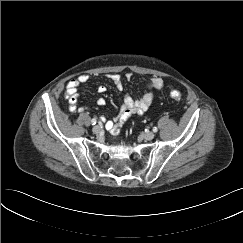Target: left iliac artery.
<instances>
[{
	"mask_svg": "<svg viewBox=\"0 0 243 243\" xmlns=\"http://www.w3.org/2000/svg\"><path fill=\"white\" fill-rule=\"evenodd\" d=\"M157 131H158L157 127H153V132H157Z\"/></svg>",
	"mask_w": 243,
	"mask_h": 243,
	"instance_id": "44dca946",
	"label": "left iliac artery"
}]
</instances>
